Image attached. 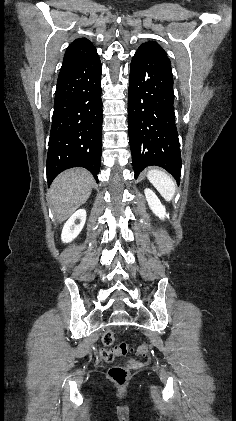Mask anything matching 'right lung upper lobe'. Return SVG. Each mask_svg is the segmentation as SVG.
<instances>
[{
    "label": "right lung upper lobe",
    "instance_id": "1",
    "mask_svg": "<svg viewBox=\"0 0 236 421\" xmlns=\"http://www.w3.org/2000/svg\"><path fill=\"white\" fill-rule=\"evenodd\" d=\"M97 55L95 46L88 39H76L67 48L61 68L93 58Z\"/></svg>",
    "mask_w": 236,
    "mask_h": 421
}]
</instances>
